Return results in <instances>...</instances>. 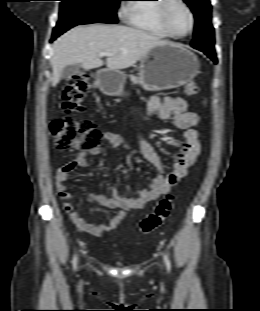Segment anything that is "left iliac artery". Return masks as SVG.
<instances>
[{"instance_id":"obj_1","label":"left iliac artery","mask_w":260,"mask_h":311,"mask_svg":"<svg viewBox=\"0 0 260 311\" xmlns=\"http://www.w3.org/2000/svg\"><path fill=\"white\" fill-rule=\"evenodd\" d=\"M164 261L166 263L167 270L170 271V261L166 254H164Z\"/></svg>"}]
</instances>
